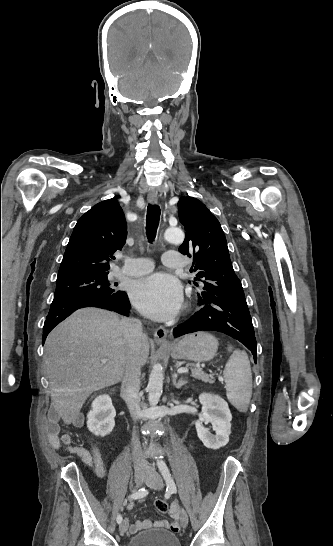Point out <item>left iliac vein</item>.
<instances>
[{
  "instance_id": "1",
  "label": "left iliac vein",
  "mask_w": 333,
  "mask_h": 546,
  "mask_svg": "<svg viewBox=\"0 0 333 546\" xmlns=\"http://www.w3.org/2000/svg\"><path fill=\"white\" fill-rule=\"evenodd\" d=\"M146 485L155 490H160L163 487V481L158 472L154 468H150L145 480ZM188 514L184 508L180 509V524L183 528L188 525Z\"/></svg>"
}]
</instances>
